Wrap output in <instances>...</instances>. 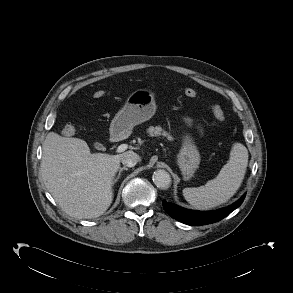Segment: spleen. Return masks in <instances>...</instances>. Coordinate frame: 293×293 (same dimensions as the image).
<instances>
[{
    "instance_id": "3e777b00",
    "label": "spleen",
    "mask_w": 293,
    "mask_h": 293,
    "mask_svg": "<svg viewBox=\"0 0 293 293\" xmlns=\"http://www.w3.org/2000/svg\"><path fill=\"white\" fill-rule=\"evenodd\" d=\"M247 165V148L241 143H234L230 158L217 177L205 186L183 189L184 198L197 209H210L227 202L240 188Z\"/></svg>"
}]
</instances>
